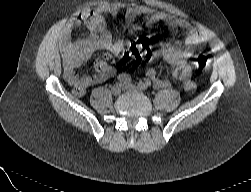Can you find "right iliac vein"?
Masks as SVG:
<instances>
[{
	"label": "right iliac vein",
	"instance_id": "right-iliac-vein-1",
	"mask_svg": "<svg viewBox=\"0 0 251 192\" xmlns=\"http://www.w3.org/2000/svg\"><path fill=\"white\" fill-rule=\"evenodd\" d=\"M121 90H122V85L118 83L111 88L112 94L116 96L121 93Z\"/></svg>",
	"mask_w": 251,
	"mask_h": 192
}]
</instances>
